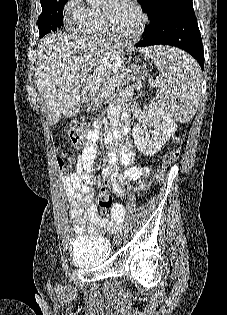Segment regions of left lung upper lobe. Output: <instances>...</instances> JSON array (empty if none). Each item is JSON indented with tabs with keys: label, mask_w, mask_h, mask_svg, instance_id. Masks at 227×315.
Masks as SVG:
<instances>
[{
	"label": "left lung upper lobe",
	"mask_w": 227,
	"mask_h": 315,
	"mask_svg": "<svg viewBox=\"0 0 227 315\" xmlns=\"http://www.w3.org/2000/svg\"><path fill=\"white\" fill-rule=\"evenodd\" d=\"M150 19V23L168 12L187 6H193L192 0H137Z\"/></svg>",
	"instance_id": "5c2ea615"
}]
</instances>
